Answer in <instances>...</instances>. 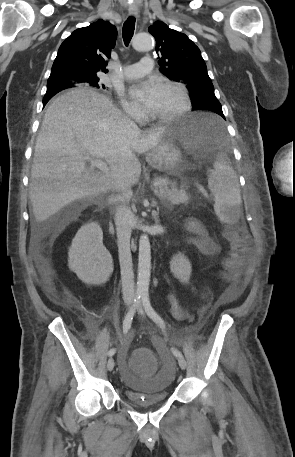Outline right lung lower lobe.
Listing matches in <instances>:
<instances>
[{"mask_svg": "<svg viewBox=\"0 0 295 457\" xmlns=\"http://www.w3.org/2000/svg\"><path fill=\"white\" fill-rule=\"evenodd\" d=\"M72 86H68L67 84H62V83H55V84H51V85H47V92L43 98V105H45L48 101H47V97H52L50 96L51 93L49 91H61L63 89H66V88H70ZM54 96V95H53Z\"/></svg>", "mask_w": 295, "mask_h": 457, "instance_id": "right-lung-lower-lobe-1", "label": "right lung lower lobe"}]
</instances>
